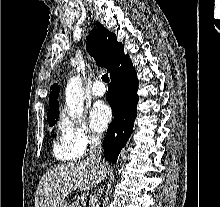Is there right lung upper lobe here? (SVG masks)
Instances as JSON below:
<instances>
[{
    "mask_svg": "<svg viewBox=\"0 0 220 207\" xmlns=\"http://www.w3.org/2000/svg\"><path fill=\"white\" fill-rule=\"evenodd\" d=\"M87 51L94 56L97 65L106 68L110 73L114 65L124 57V46L117 41L116 35L109 32L102 24L97 23L96 27L88 35L86 42ZM59 86L53 84L50 87L49 105L47 120H52L59 114Z\"/></svg>",
    "mask_w": 220,
    "mask_h": 207,
    "instance_id": "1",
    "label": "right lung upper lobe"
}]
</instances>
